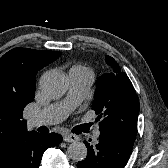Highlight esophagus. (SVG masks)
I'll use <instances>...</instances> for the list:
<instances>
[{"label": "esophagus", "mask_w": 168, "mask_h": 168, "mask_svg": "<svg viewBox=\"0 0 168 168\" xmlns=\"http://www.w3.org/2000/svg\"><path fill=\"white\" fill-rule=\"evenodd\" d=\"M63 140L65 142H75V141L78 140V137L76 135H74V134H65L63 136Z\"/></svg>", "instance_id": "34e87169"}]
</instances>
